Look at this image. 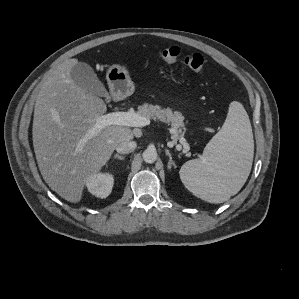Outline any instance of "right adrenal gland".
<instances>
[{
    "label": "right adrenal gland",
    "mask_w": 299,
    "mask_h": 299,
    "mask_svg": "<svg viewBox=\"0 0 299 299\" xmlns=\"http://www.w3.org/2000/svg\"><path fill=\"white\" fill-rule=\"evenodd\" d=\"M114 158H115V159H119V160H124V159H125L124 156H121V155H119V154H115V155H114Z\"/></svg>",
    "instance_id": "2a0ac1e0"
}]
</instances>
